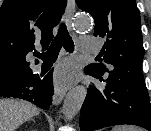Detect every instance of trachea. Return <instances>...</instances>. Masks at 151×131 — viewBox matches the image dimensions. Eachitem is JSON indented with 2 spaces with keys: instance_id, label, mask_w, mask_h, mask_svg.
<instances>
[{
  "instance_id": "obj_1",
  "label": "trachea",
  "mask_w": 151,
  "mask_h": 131,
  "mask_svg": "<svg viewBox=\"0 0 151 131\" xmlns=\"http://www.w3.org/2000/svg\"><path fill=\"white\" fill-rule=\"evenodd\" d=\"M62 46L69 53H72L74 51L73 40L69 35L67 27L64 23L60 24L58 33L47 51L44 53L36 52L34 53V56L42 59L44 62L55 61Z\"/></svg>"
}]
</instances>
